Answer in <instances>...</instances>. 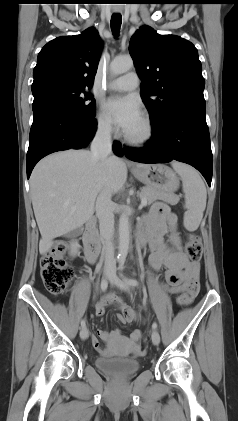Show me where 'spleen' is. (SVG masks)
Wrapping results in <instances>:
<instances>
[{
    "mask_svg": "<svg viewBox=\"0 0 238 421\" xmlns=\"http://www.w3.org/2000/svg\"><path fill=\"white\" fill-rule=\"evenodd\" d=\"M173 169L182 180L185 194L184 227L195 231L203 218L206 208L207 191L200 174L191 166L180 162H172Z\"/></svg>",
    "mask_w": 238,
    "mask_h": 421,
    "instance_id": "3e777b00",
    "label": "spleen"
}]
</instances>
